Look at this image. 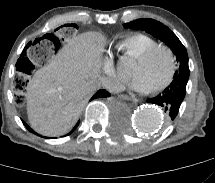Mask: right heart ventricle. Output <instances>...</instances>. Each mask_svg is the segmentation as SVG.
<instances>
[{"instance_id":"1","label":"right heart ventricle","mask_w":215,"mask_h":183,"mask_svg":"<svg viewBox=\"0 0 215 183\" xmlns=\"http://www.w3.org/2000/svg\"><path fill=\"white\" fill-rule=\"evenodd\" d=\"M157 45L159 42L152 36L142 32H133L125 35L119 41L117 48L126 55L137 57Z\"/></svg>"}]
</instances>
